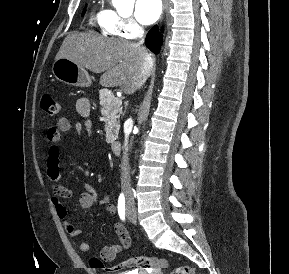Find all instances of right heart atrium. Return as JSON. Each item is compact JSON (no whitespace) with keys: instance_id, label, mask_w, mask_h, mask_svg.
<instances>
[{"instance_id":"1","label":"right heart atrium","mask_w":289,"mask_h":274,"mask_svg":"<svg viewBox=\"0 0 289 274\" xmlns=\"http://www.w3.org/2000/svg\"><path fill=\"white\" fill-rule=\"evenodd\" d=\"M110 27L116 35L128 39L137 37L142 31L141 26L132 17H124L114 11H112Z\"/></svg>"}]
</instances>
